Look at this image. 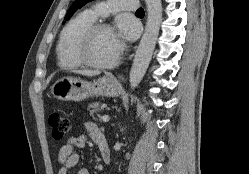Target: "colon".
Masks as SVG:
<instances>
[{
  "label": "colon",
  "instance_id": "1",
  "mask_svg": "<svg viewBox=\"0 0 249 174\" xmlns=\"http://www.w3.org/2000/svg\"><path fill=\"white\" fill-rule=\"evenodd\" d=\"M48 124L52 130V135L56 139H63L71 130L70 120L57 112L49 114Z\"/></svg>",
  "mask_w": 249,
  "mask_h": 174
}]
</instances>
